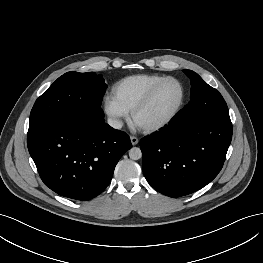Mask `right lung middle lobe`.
<instances>
[{
	"instance_id": "dd1d6c3e",
	"label": "right lung middle lobe",
	"mask_w": 263,
	"mask_h": 263,
	"mask_svg": "<svg viewBox=\"0 0 263 263\" xmlns=\"http://www.w3.org/2000/svg\"><path fill=\"white\" fill-rule=\"evenodd\" d=\"M107 85L102 75L70 71L59 77L35 102L28 135L53 122L100 107Z\"/></svg>"
}]
</instances>
